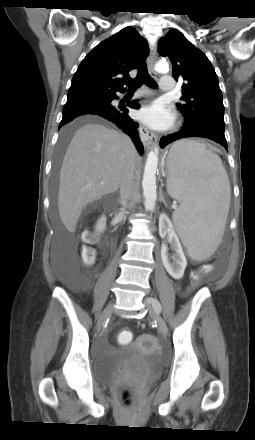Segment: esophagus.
I'll list each match as a JSON object with an SVG mask.
<instances>
[{
	"label": "esophagus",
	"mask_w": 255,
	"mask_h": 440,
	"mask_svg": "<svg viewBox=\"0 0 255 440\" xmlns=\"http://www.w3.org/2000/svg\"><path fill=\"white\" fill-rule=\"evenodd\" d=\"M156 55H157V49L156 46H154L151 48L149 56L147 58L148 70L154 76L156 75L154 71V63L156 60ZM139 133H140L141 141L146 148H148L157 141V136L152 131L145 128L144 126L140 125Z\"/></svg>",
	"instance_id": "1"
}]
</instances>
